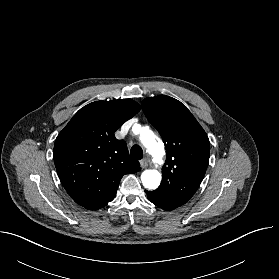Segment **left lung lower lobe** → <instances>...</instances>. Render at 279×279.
Segmentation results:
<instances>
[{
	"instance_id": "1",
	"label": "left lung lower lobe",
	"mask_w": 279,
	"mask_h": 279,
	"mask_svg": "<svg viewBox=\"0 0 279 279\" xmlns=\"http://www.w3.org/2000/svg\"><path fill=\"white\" fill-rule=\"evenodd\" d=\"M147 194V198L156 206L162 208L166 211H171L181 205L184 204L182 201H176V200H168L161 197H158L156 195L151 194L149 191H145Z\"/></svg>"
}]
</instances>
